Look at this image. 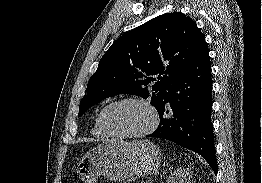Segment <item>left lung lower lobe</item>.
Segmentation results:
<instances>
[{
  "label": "left lung lower lobe",
  "instance_id": "1",
  "mask_svg": "<svg viewBox=\"0 0 262 183\" xmlns=\"http://www.w3.org/2000/svg\"><path fill=\"white\" fill-rule=\"evenodd\" d=\"M211 92L207 47L172 82L167 99L157 110L159 126L148 137L166 139L200 154L217 174Z\"/></svg>",
  "mask_w": 262,
  "mask_h": 183
}]
</instances>
